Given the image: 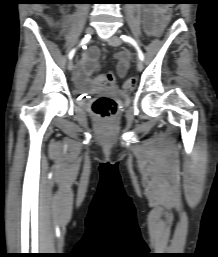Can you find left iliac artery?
<instances>
[{"instance_id": "44dca946", "label": "left iliac artery", "mask_w": 218, "mask_h": 257, "mask_svg": "<svg viewBox=\"0 0 218 257\" xmlns=\"http://www.w3.org/2000/svg\"><path fill=\"white\" fill-rule=\"evenodd\" d=\"M121 39H122L123 41H125V42H128V43L132 44V45L136 48L140 60H141V61L144 60V54H143V52H142L141 49L139 48L137 42H136L132 37L127 36V35H121Z\"/></svg>"}]
</instances>
